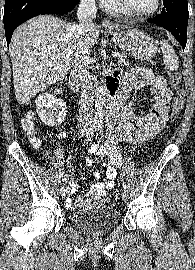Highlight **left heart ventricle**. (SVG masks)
<instances>
[{"label":"left heart ventricle","instance_id":"b2bd125f","mask_svg":"<svg viewBox=\"0 0 195 270\" xmlns=\"http://www.w3.org/2000/svg\"><path fill=\"white\" fill-rule=\"evenodd\" d=\"M127 2L137 11H147L154 7L156 0H127Z\"/></svg>","mask_w":195,"mask_h":270}]
</instances>
